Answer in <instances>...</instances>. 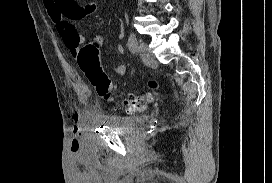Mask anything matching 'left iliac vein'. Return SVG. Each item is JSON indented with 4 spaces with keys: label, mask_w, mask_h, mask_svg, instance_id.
<instances>
[{
    "label": "left iliac vein",
    "mask_w": 272,
    "mask_h": 183,
    "mask_svg": "<svg viewBox=\"0 0 272 183\" xmlns=\"http://www.w3.org/2000/svg\"><path fill=\"white\" fill-rule=\"evenodd\" d=\"M138 52L140 54V57L142 61L145 64H153L155 61L154 55L151 53L147 43L145 42H140L138 45Z\"/></svg>",
    "instance_id": "left-iliac-vein-1"
}]
</instances>
